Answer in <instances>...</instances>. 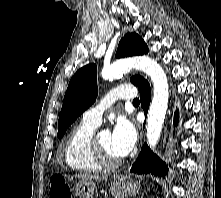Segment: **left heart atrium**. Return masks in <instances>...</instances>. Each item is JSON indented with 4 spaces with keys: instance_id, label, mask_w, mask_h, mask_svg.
I'll return each instance as SVG.
<instances>
[{
    "instance_id": "left-heart-atrium-1",
    "label": "left heart atrium",
    "mask_w": 221,
    "mask_h": 198,
    "mask_svg": "<svg viewBox=\"0 0 221 198\" xmlns=\"http://www.w3.org/2000/svg\"><path fill=\"white\" fill-rule=\"evenodd\" d=\"M137 139L136 130L131 122L119 118L111 132V146L113 151L120 157L130 153Z\"/></svg>"
}]
</instances>
